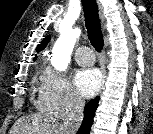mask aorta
I'll list each match as a JSON object with an SVG mask.
<instances>
[{"mask_svg": "<svg viewBox=\"0 0 153 134\" xmlns=\"http://www.w3.org/2000/svg\"><path fill=\"white\" fill-rule=\"evenodd\" d=\"M79 35L80 30L78 28L61 33L52 50L51 63L55 69L59 71L67 69L70 55Z\"/></svg>", "mask_w": 153, "mask_h": 134, "instance_id": "1", "label": "aorta"}]
</instances>
